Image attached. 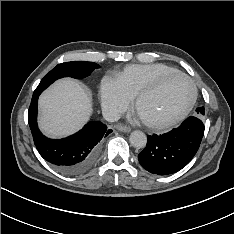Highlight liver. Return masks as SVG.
I'll return each mask as SVG.
<instances>
[{
  "mask_svg": "<svg viewBox=\"0 0 234 234\" xmlns=\"http://www.w3.org/2000/svg\"><path fill=\"white\" fill-rule=\"evenodd\" d=\"M39 127L57 138L78 131L92 113L91 96L72 79L55 82L39 98Z\"/></svg>",
  "mask_w": 234,
  "mask_h": 234,
  "instance_id": "liver-1",
  "label": "liver"
}]
</instances>
